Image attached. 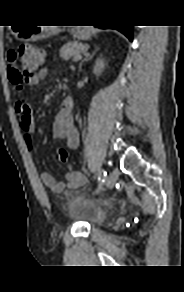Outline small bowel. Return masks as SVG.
<instances>
[{
    "instance_id": "obj_1",
    "label": "small bowel",
    "mask_w": 184,
    "mask_h": 292,
    "mask_svg": "<svg viewBox=\"0 0 184 292\" xmlns=\"http://www.w3.org/2000/svg\"><path fill=\"white\" fill-rule=\"evenodd\" d=\"M47 75V70L42 69L37 72L30 80L26 83L33 86L38 84ZM19 87L20 85H15ZM15 111L20 120V129L24 137L27 149L30 153L35 152L34 145V132H35V121L33 112L28 103L23 99L19 98L15 102ZM52 135L55 139L64 140L66 145L70 149H76L79 145V133L77 127L71 117L70 109L61 110L56 114L52 126ZM41 180L45 186L50 188L53 192L59 193L65 188L78 189L84 186L87 182L86 177L83 173L69 168L66 174V183L58 182L54 176L49 172H43L41 174Z\"/></svg>"
}]
</instances>
